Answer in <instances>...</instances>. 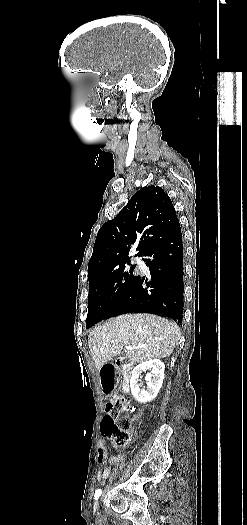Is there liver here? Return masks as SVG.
I'll return each instance as SVG.
<instances>
[{
	"label": "liver",
	"mask_w": 247,
	"mask_h": 525,
	"mask_svg": "<svg viewBox=\"0 0 247 525\" xmlns=\"http://www.w3.org/2000/svg\"><path fill=\"white\" fill-rule=\"evenodd\" d=\"M180 331L177 323L158 315H120L92 329L88 345L99 371L113 357L121 355L124 347H139L126 353V359L134 363L170 357L179 341Z\"/></svg>",
	"instance_id": "1"
}]
</instances>
